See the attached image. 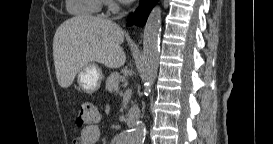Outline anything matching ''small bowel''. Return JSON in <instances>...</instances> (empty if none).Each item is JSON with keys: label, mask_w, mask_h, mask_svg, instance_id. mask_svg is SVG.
<instances>
[{"label": "small bowel", "mask_w": 273, "mask_h": 144, "mask_svg": "<svg viewBox=\"0 0 273 144\" xmlns=\"http://www.w3.org/2000/svg\"><path fill=\"white\" fill-rule=\"evenodd\" d=\"M99 138V127L91 126L80 131V135L74 140V144H96L99 141Z\"/></svg>", "instance_id": "obj_1"}]
</instances>
